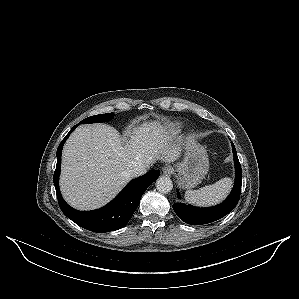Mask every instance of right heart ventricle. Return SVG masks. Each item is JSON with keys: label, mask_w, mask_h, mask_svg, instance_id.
Returning <instances> with one entry per match:
<instances>
[{"label": "right heart ventricle", "mask_w": 299, "mask_h": 299, "mask_svg": "<svg viewBox=\"0 0 299 299\" xmlns=\"http://www.w3.org/2000/svg\"><path fill=\"white\" fill-rule=\"evenodd\" d=\"M181 126H182L181 123H176V124H175V127H176V128H180Z\"/></svg>", "instance_id": "obj_1"}]
</instances>
